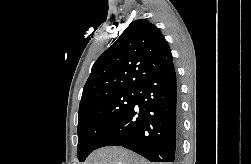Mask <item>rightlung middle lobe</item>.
I'll list each match as a JSON object with an SVG mask.
<instances>
[{
  "label": "right lung middle lobe",
  "instance_id": "obj_1",
  "mask_svg": "<svg viewBox=\"0 0 251 164\" xmlns=\"http://www.w3.org/2000/svg\"><path fill=\"white\" fill-rule=\"evenodd\" d=\"M137 90H121L99 96L79 108L78 157L84 162L101 139L133 106Z\"/></svg>",
  "mask_w": 251,
  "mask_h": 164
}]
</instances>
